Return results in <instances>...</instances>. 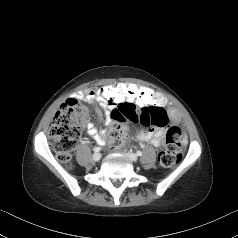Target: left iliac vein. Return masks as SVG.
<instances>
[{"label":"left iliac vein","instance_id":"1","mask_svg":"<svg viewBox=\"0 0 238 238\" xmlns=\"http://www.w3.org/2000/svg\"><path fill=\"white\" fill-rule=\"evenodd\" d=\"M126 156L128 157V159L132 162H136L138 157L136 154L132 153V152H127Z\"/></svg>","mask_w":238,"mask_h":238}]
</instances>
